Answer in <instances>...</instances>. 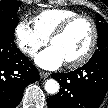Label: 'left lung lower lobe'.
<instances>
[{
    "instance_id": "left-lung-lower-lobe-1",
    "label": "left lung lower lobe",
    "mask_w": 108,
    "mask_h": 108,
    "mask_svg": "<svg viewBox=\"0 0 108 108\" xmlns=\"http://www.w3.org/2000/svg\"><path fill=\"white\" fill-rule=\"evenodd\" d=\"M51 76L60 90L48 98V108H99L108 92V58L90 59L75 71Z\"/></svg>"
}]
</instances>
